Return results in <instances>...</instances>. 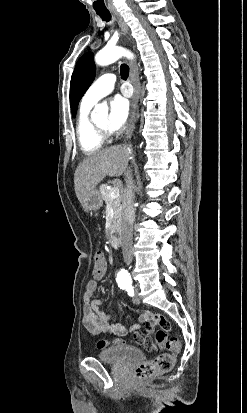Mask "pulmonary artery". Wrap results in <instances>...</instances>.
<instances>
[{
    "label": "pulmonary artery",
    "mask_w": 247,
    "mask_h": 413,
    "mask_svg": "<svg viewBox=\"0 0 247 413\" xmlns=\"http://www.w3.org/2000/svg\"><path fill=\"white\" fill-rule=\"evenodd\" d=\"M116 76L113 73H105L99 76L87 89L83 96L84 105H92L106 96L114 87Z\"/></svg>",
    "instance_id": "pulmonary-artery-1"
}]
</instances>
